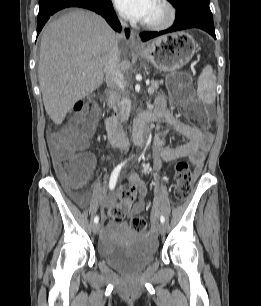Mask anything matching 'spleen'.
<instances>
[{
    "mask_svg": "<svg viewBox=\"0 0 261 306\" xmlns=\"http://www.w3.org/2000/svg\"><path fill=\"white\" fill-rule=\"evenodd\" d=\"M197 85V94L200 100L206 104L213 103L216 96V76L213 74V69L210 65H206L202 70Z\"/></svg>",
    "mask_w": 261,
    "mask_h": 306,
    "instance_id": "obj_1",
    "label": "spleen"
}]
</instances>
